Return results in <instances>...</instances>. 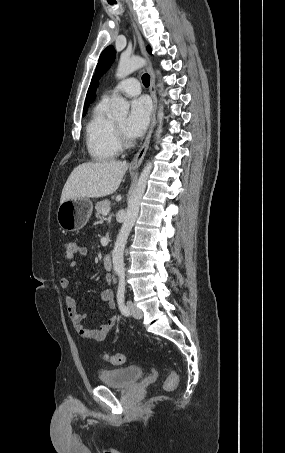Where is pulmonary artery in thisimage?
<instances>
[{
  "label": "pulmonary artery",
  "mask_w": 285,
  "mask_h": 453,
  "mask_svg": "<svg viewBox=\"0 0 285 453\" xmlns=\"http://www.w3.org/2000/svg\"><path fill=\"white\" fill-rule=\"evenodd\" d=\"M123 94L125 96H136L140 93V83L136 78H127L109 90L103 99L109 101L116 94Z\"/></svg>",
  "instance_id": "1"
}]
</instances>
